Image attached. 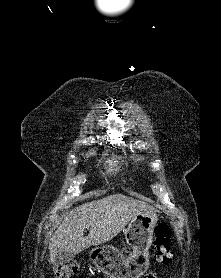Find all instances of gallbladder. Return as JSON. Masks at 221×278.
<instances>
[{
  "label": "gallbladder",
  "instance_id": "obj_1",
  "mask_svg": "<svg viewBox=\"0 0 221 278\" xmlns=\"http://www.w3.org/2000/svg\"><path fill=\"white\" fill-rule=\"evenodd\" d=\"M75 255L72 253L61 252L54 259V265H64L74 259Z\"/></svg>",
  "mask_w": 221,
  "mask_h": 278
}]
</instances>
